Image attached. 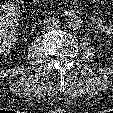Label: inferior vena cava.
<instances>
[{
	"instance_id": "obj_1",
	"label": "inferior vena cava",
	"mask_w": 113,
	"mask_h": 113,
	"mask_svg": "<svg viewBox=\"0 0 113 113\" xmlns=\"http://www.w3.org/2000/svg\"><path fill=\"white\" fill-rule=\"evenodd\" d=\"M46 30H54L60 27V21L54 17H48L43 22Z\"/></svg>"
}]
</instances>
